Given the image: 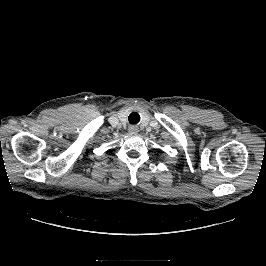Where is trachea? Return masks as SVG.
Returning <instances> with one entry per match:
<instances>
[{"mask_svg":"<svg viewBox=\"0 0 266 266\" xmlns=\"http://www.w3.org/2000/svg\"><path fill=\"white\" fill-rule=\"evenodd\" d=\"M128 119H129L130 124H136L140 121V115L136 112H132L129 115Z\"/></svg>","mask_w":266,"mask_h":266,"instance_id":"3493384b","label":"trachea"}]
</instances>
